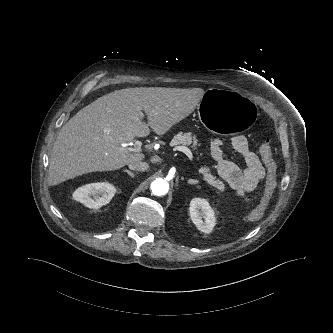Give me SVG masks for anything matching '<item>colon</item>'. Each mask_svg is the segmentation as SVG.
Listing matches in <instances>:
<instances>
[{"label": "colon", "mask_w": 333, "mask_h": 333, "mask_svg": "<svg viewBox=\"0 0 333 333\" xmlns=\"http://www.w3.org/2000/svg\"><path fill=\"white\" fill-rule=\"evenodd\" d=\"M259 154L266 167V185L261 203L249 214L252 221L260 219L265 213L268 203L277 184V165L273 159L272 148L269 142H264L259 148Z\"/></svg>", "instance_id": "1"}]
</instances>
